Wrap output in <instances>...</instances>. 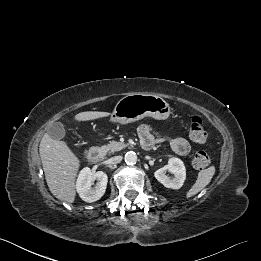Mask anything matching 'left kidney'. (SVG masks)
Instances as JSON below:
<instances>
[{
  "label": "left kidney",
  "instance_id": "5707ae66",
  "mask_svg": "<svg viewBox=\"0 0 261 261\" xmlns=\"http://www.w3.org/2000/svg\"><path fill=\"white\" fill-rule=\"evenodd\" d=\"M167 171L174 175L173 179L166 175ZM154 176L166 188L179 189L186 178V169L182 160L172 157L169 159L168 165L155 171Z\"/></svg>",
  "mask_w": 261,
  "mask_h": 261
}]
</instances>
